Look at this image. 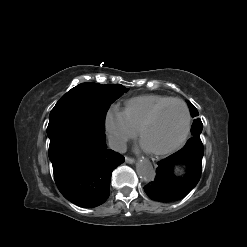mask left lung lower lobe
I'll use <instances>...</instances> for the list:
<instances>
[{
    "instance_id": "left-lung-lower-lobe-1",
    "label": "left lung lower lobe",
    "mask_w": 247,
    "mask_h": 247,
    "mask_svg": "<svg viewBox=\"0 0 247 247\" xmlns=\"http://www.w3.org/2000/svg\"><path fill=\"white\" fill-rule=\"evenodd\" d=\"M203 154L200 138L192 137L181 150L158 162L155 180L144 186L149 198L170 202L185 197L200 179ZM178 164L187 167L184 177L176 178L172 173L174 166Z\"/></svg>"
}]
</instances>
